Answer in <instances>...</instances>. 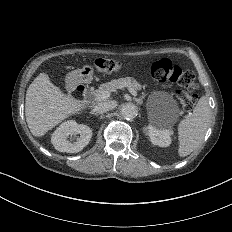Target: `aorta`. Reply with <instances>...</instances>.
Here are the masks:
<instances>
[{"label": "aorta", "instance_id": "obj_1", "mask_svg": "<svg viewBox=\"0 0 232 232\" xmlns=\"http://www.w3.org/2000/svg\"><path fill=\"white\" fill-rule=\"evenodd\" d=\"M121 113L126 119H133L138 114V109L133 103H125L121 107Z\"/></svg>", "mask_w": 232, "mask_h": 232}]
</instances>
